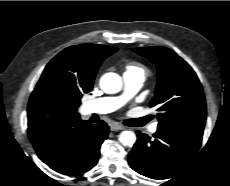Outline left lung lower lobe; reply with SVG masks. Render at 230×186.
I'll list each match as a JSON object with an SVG mask.
<instances>
[{"label": "left lung lower lobe", "mask_w": 230, "mask_h": 186, "mask_svg": "<svg viewBox=\"0 0 230 186\" xmlns=\"http://www.w3.org/2000/svg\"><path fill=\"white\" fill-rule=\"evenodd\" d=\"M203 131L158 127L150 138L137 131L129 154L130 167L153 179H167L184 168L201 146Z\"/></svg>", "instance_id": "left-lung-lower-lobe-1"}]
</instances>
